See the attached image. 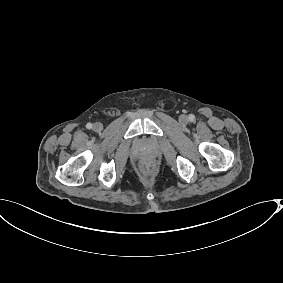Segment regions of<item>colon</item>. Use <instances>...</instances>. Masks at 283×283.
<instances>
[{
	"instance_id": "obj_1",
	"label": "colon",
	"mask_w": 283,
	"mask_h": 283,
	"mask_svg": "<svg viewBox=\"0 0 283 283\" xmlns=\"http://www.w3.org/2000/svg\"><path fill=\"white\" fill-rule=\"evenodd\" d=\"M144 169H145V170H148V169H149V166H147V165L144 166Z\"/></svg>"
}]
</instances>
